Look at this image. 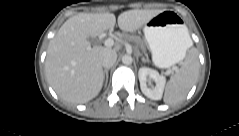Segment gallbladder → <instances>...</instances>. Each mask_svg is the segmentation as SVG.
<instances>
[{
  "label": "gallbladder",
  "mask_w": 239,
  "mask_h": 136,
  "mask_svg": "<svg viewBox=\"0 0 239 136\" xmlns=\"http://www.w3.org/2000/svg\"><path fill=\"white\" fill-rule=\"evenodd\" d=\"M88 40H89V42H90L91 44H95V43H96V39L93 38V37H89Z\"/></svg>",
  "instance_id": "bac80fb5"
}]
</instances>
